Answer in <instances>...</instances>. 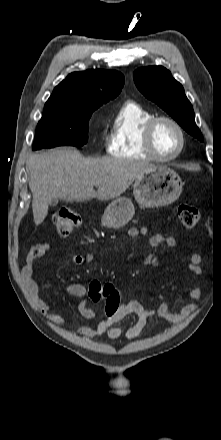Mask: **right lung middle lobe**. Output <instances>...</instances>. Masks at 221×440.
I'll use <instances>...</instances> for the list:
<instances>
[{"instance_id":"obj_1","label":"right lung middle lobe","mask_w":221,"mask_h":440,"mask_svg":"<svg viewBox=\"0 0 221 440\" xmlns=\"http://www.w3.org/2000/svg\"><path fill=\"white\" fill-rule=\"evenodd\" d=\"M99 105L74 106L46 103L37 125L33 150L55 146H83L88 139V123Z\"/></svg>"}]
</instances>
